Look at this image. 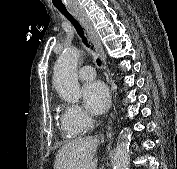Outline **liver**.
Returning <instances> with one entry per match:
<instances>
[{
    "instance_id": "obj_1",
    "label": "liver",
    "mask_w": 177,
    "mask_h": 169,
    "mask_svg": "<svg viewBox=\"0 0 177 169\" xmlns=\"http://www.w3.org/2000/svg\"><path fill=\"white\" fill-rule=\"evenodd\" d=\"M95 137L79 138L64 145L57 153L54 169H96L98 147Z\"/></svg>"
}]
</instances>
